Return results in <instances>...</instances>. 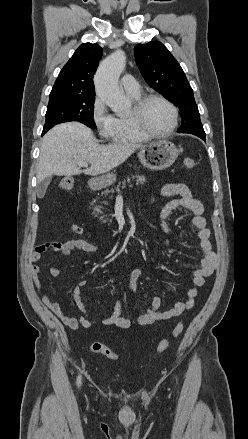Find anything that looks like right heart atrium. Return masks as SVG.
<instances>
[{
  "label": "right heart atrium",
  "mask_w": 248,
  "mask_h": 439,
  "mask_svg": "<svg viewBox=\"0 0 248 439\" xmlns=\"http://www.w3.org/2000/svg\"><path fill=\"white\" fill-rule=\"evenodd\" d=\"M91 114L99 135L105 139L111 138L116 124V117L109 112L106 103L100 97L95 99Z\"/></svg>",
  "instance_id": "right-heart-atrium-1"
}]
</instances>
